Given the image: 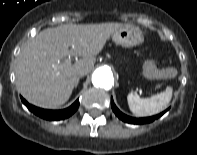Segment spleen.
I'll return each mask as SVG.
<instances>
[{
	"instance_id": "1",
	"label": "spleen",
	"mask_w": 197,
	"mask_h": 155,
	"mask_svg": "<svg viewBox=\"0 0 197 155\" xmlns=\"http://www.w3.org/2000/svg\"><path fill=\"white\" fill-rule=\"evenodd\" d=\"M172 92V87L168 86L165 91L145 99L137 94L129 93L127 96L129 109L139 117L157 114L166 108L172 98Z\"/></svg>"
}]
</instances>
